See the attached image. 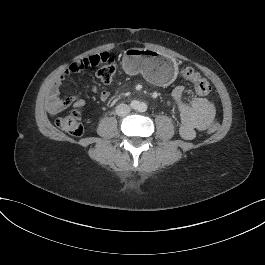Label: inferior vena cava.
Masks as SVG:
<instances>
[{"label": "inferior vena cava", "instance_id": "1", "mask_svg": "<svg viewBox=\"0 0 265 265\" xmlns=\"http://www.w3.org/2000/svg\"><path fill=\"white\" fill-rule=\"evenodd\" d=\"M131 112L130 106L127 104H119L116 108V113L119 116H126Z\"/></svg>", "mask_w": 265, "mask_h": 265}]
</instances>
